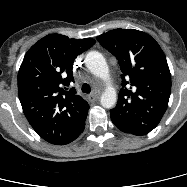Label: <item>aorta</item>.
Listing matches in <instances>:
<instances>
[{"instance_id":"aorta-1","label":"aorta","mask_w":187,"mask_h":187,"mask_svg":"<svg viewBox=\"0 0 187 187\" xmlns=\"http://www.w3.org/2000/svg\"><path fill=\"white\" fill-rule=\"evenodd\" d=\"M85 65L92 74L104 80L109 78V67L103 55L98 51H90L85 57ZM117 102V94L112 86H107L103 92L100 103L102 107L110 109Z\"/></svg>"}]
</instances>
